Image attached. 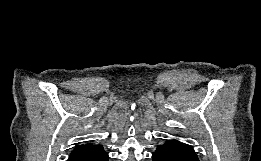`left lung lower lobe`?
I'll return each mask as SVG.
<instances>
[{
	"instance_id": "0a47b994",
	"label": "left lung lower lobe",
	"mask_w": 261,
	"mask_h": 161,
	"mask_svg": "<svg viewBox=\"0 0 261 161\" xmlns=\"http://www.w3.org/2000/svg\"><path fill=\"white\" fill-rule=\"evenodd\" d=\"M153 161H199L191 146L177 140H168L158 145L152 155Z\"/></svg>"
}]
</instances>
